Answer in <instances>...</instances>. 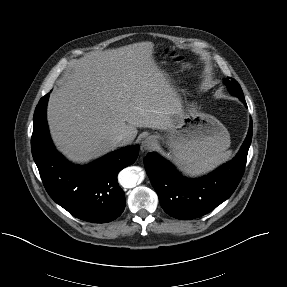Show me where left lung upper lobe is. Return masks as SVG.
<instances>
[{"mask_svg": "<svg viewBox=\"0 0 287 287\" xmlns=\"http://www.w3.org/2000/svg\"><path fill=\"white\" fill-rule=\"evenodd\" d=\"M224 82L231 95L238 97L240 100L245 99L242 89L235 79L228 77L224 79Z\"/></svg>", "mask_w": 287, "mask_h": 287, "instance_id": "1", "label": "left lung upper lobe"}]
</instances>
